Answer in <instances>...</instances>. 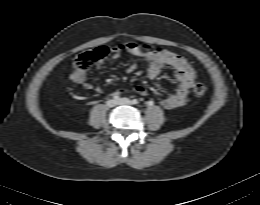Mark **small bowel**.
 I'll return each mask as SVG.
<instances>
[{"mask_svg": "<svg viewBox=\"0 0 260 205\" xmlns=\"http://www.w3.org/2000/svg\"><path fill=\"white\" fill-rule=\"evenodd\" d=\"M121 49L136 57L142 58L147 64L146 72L150 78H156L164 67H172L175 70L178 85L173 93L160 101V105L165 109H173L181 107L186 103L189 90L192 87L196 74L191 64L184 57L170 51H163L160 53L144 51L139 45L132 42L126 43ZM121 49L117 47L111 49L113 59L120 58ZM100 66L101 63L98 64V67ZM135 69L136 65L132 64L127 68V71L130 73L135 71ZM68 79L95 93H101L102 91L100 87L91 84L85 71L78 70L77 68L70 72ZM134 91L141 96H146L148 94L146 88L143 86H136ZM124 92L123 89H119L115 91L114 95L120 96Z\"/></svg>", "mask_w": 260, "mask_h": 205, "instance_id": "obj_1", "label": "small bowel"}]
</instances>
